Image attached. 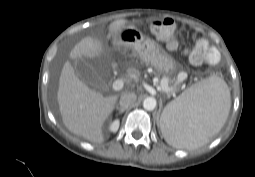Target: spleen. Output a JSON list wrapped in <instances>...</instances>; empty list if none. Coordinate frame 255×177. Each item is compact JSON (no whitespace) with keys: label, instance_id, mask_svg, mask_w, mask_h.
<instances>
[{"label":"spleen","instance_id":"obj_1","mask_svg":"<svg viewBox=\"0 0 255 177\" xmlns=\"http://www.w3.org/2000/svg\"><path fill=\"white\" fill-rule=\"evenodd\" d=\"M230 107L227 84L211 76L191 86L165 107L160 119L162 134L174 147H200L221 130Z\"/></svg>","mask_w":255,"mask_h":177}]
</instances>
